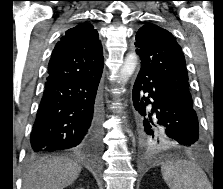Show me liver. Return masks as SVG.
Returning a JSON list of instances; mask_svg holds the SVG:
<instances>
[{"label":"liver","mask_w":223,"mask_h":189,"mask_svg":"<svg viewBox=\"0 0 223 189\" xmlns=\"http://www.w3.org/2000/svg\"><path fill=\"white\" fill-rule=\"evenodd\" d=\"M81 169L65 157L40 160L24 174L22 189H63L78 178Z\"/></svg>","instance_id":"obj_1"}]
</instances>
